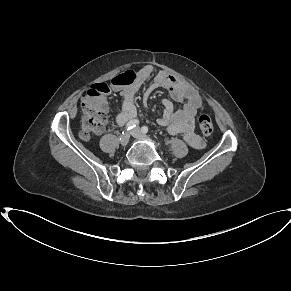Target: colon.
Wrapping results in <instances>:
<instances>
[{"instance_id":"obj_1","label":"colon","mask_w":291,"mask_h":291,"mask_svg":"<svg viewBox=\"0 0 291 291\" xmlns=\"http://www.w3.org/2000/svg\"><path fill=\"white\" fill-rule=\"evenodd\" d=\"M134 80L133 74L129 73L113 80L112 86L122 87L131 84ZM110 92V85L98 83L90 87L82 100L83 117L81 121L80 136L84 140L103 132L107 120V103L105 96ZM199 105L203 109L205 103L199 98ZM198 126L202 134L210 135L213 131V122L206 113L198 117Z\"/></svg>"}]
</instances>
